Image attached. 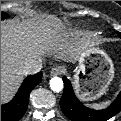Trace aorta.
Returning <instances> with one entry per match:
<instances>
[{
    "instance_id": "1",
    "label": "aorta",
    "mask_w": 121,
    "mask_h": 121,
    "mask_svg": "<svg viewBox=\"0 0 121 121\" xmlns=\"http://www.w3.org/2000/svg\"><path fill=\"white\" fill-rule=\"evenodd\" d=\"M63 80L59 77H53L50 80V88L54 91V92H60L63 89Z\"/></svg>"
}]
</instances>
